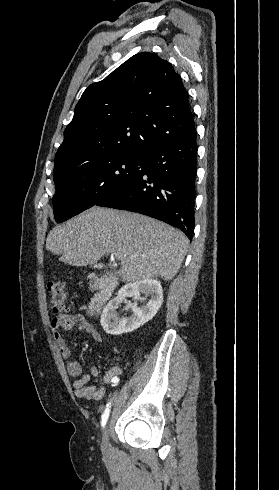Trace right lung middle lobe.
Instances as JSON below:
<instances>
[{
    "label": "right lung middle lobe",
    "mask_w": 279,
    "mask_h": 490,
    "mask_svg": "<svg viewBox=\"0 0 279 490\" xmlns=\"http://www.w3.org/2000/svg\"><path fill=\"white\" fill-rule=\"evenodd\" d=\"M144 158L107 154L54 177L53 210L61 223L114 193L144 171Z\"/></svg>",
    "instance_id": "obj_1"
}]
</instances>
